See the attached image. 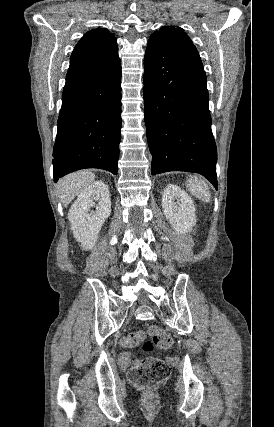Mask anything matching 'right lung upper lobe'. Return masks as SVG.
<instances>
[{"label": "right lung upper lobe", "mask_w": 274, "mask_h": 427, "mask_svg": "<svg viewBox=\"0 0 274 427\" xmlns=\"http://www.w3.org/2000/svg\"><path fill=\"white\" fill-rule=\"evenodd\" d=\"M119 62L114 35L105 28L92 29L72 52L66 83L98 75Z\"/></svg>", "instance_id": "obj_1"}]
</instances>
